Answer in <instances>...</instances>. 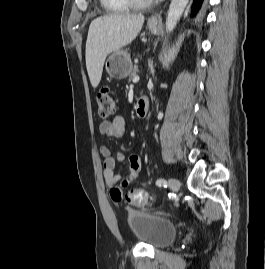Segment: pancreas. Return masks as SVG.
Returning <instances> with one entry per match:
<instances>
[{
    "label": "pancreas",
    "mask_w": 265,
    "mask_h": 269,
    "mask_svg": "<svg viewBox=\"0 0 265 269\" xmlns=\"http://www.w3.org/2000/svg\"><path fill=\"white\" fill-rule=\"evenodd\" d=\"M137 73H138V66L134 65V67L132 68L131 74L129 76V81H131L134 77H136Z\"/></svg>",
    "instance_id": "obj_1"
}]
</instances>
